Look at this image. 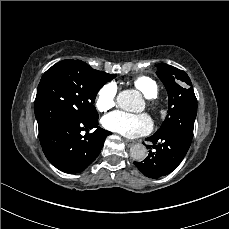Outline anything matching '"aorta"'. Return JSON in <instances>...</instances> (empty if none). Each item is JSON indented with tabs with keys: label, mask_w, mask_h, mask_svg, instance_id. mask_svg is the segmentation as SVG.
Segmentation results:
<instances>
[{
	"label": "aorta",
	"mask_w": 229,
	"mask_h": 229,
	"mask_svg": "<svg viewBox=\"0 0 229 229\" xmlns=\"http://www.w3.org/2000/svg\"><path fill=\"white\" fill-rule=\"evenodd\" d=\"M118 106L126 111L139 112L143 108V100L138 91L124 90L117 96ZM130 155L134 160L141 161L147 156V149L143 144H135L130 148Z\"/></svg>",
	"instance_id": "762f6f07"
}]
</instances>
